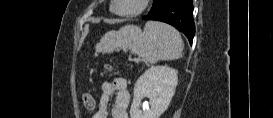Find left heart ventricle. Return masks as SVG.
<instances>
[{"label":"left heart ventricle","mask_w":273,"mask_h":118,"mask_svg":"<svg viewBox=\"0 0 273 118\" xmlns=\"http://www.w3.org/2000/svg\"><path fill=\"white\" fill-rule=\"evenodd\" d=\"M141 0H118L117 10L122 12L134 11L139 8Z\"/></svg>","instance_id":"b2bd125f"}]
</instances>
